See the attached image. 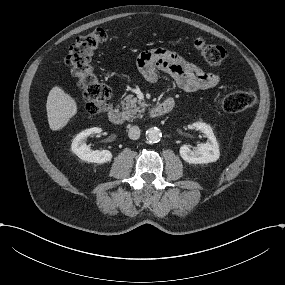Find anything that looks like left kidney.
Listing matches in <instances>:
<instances>
[{"label":"left kidney","instance_id":"5707ae66","mask_svg":"<svg viewBox=\"0 0 285 285\" xmlns=\"http://www.w3.org/2000/svg\"><path fill=\"white\" fill-rule=\"evenodd\" d=\"M194 126L207 136L208 141L199 144L194 151H192L188 145H182L180 147V156L183 160L191 164H203L217 161L220 156L219 145L211 126L203 122H197Z\"/></svg>","mask_w":285,"mask_h":285}]
</instances>
